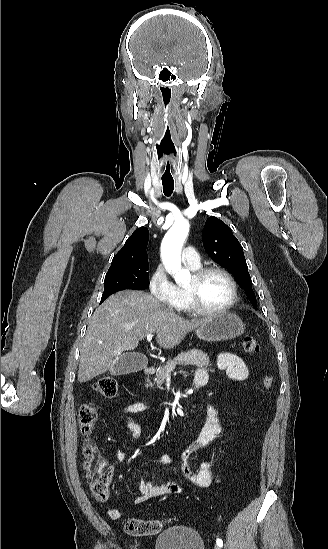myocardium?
Masks as SVG:
<instances>
[{"label":"myocardium","mask_w":328,"mask_h":549,"mask_svg":"<svg viewBox=\"0 0 328 549\" xmlns=\"http://www.w3.org/2000/svg\"><path fill=\"white\" fill-rule=\"evenodd\" d=\"M189 270L192 271L191 277L193 283L189 286H185V292L189 300V304L187 305V307L192 313L196 314L199 317L220 316L229 312L233 308L238 298V284L233 274L228 270L225 265L218 262H208L201 264L200 266H198L197 269ZM214 270L221 272L228 279L232 290L231 297L229 301L220 308L206 309L200 306L203 303L197 296L195 286L207 273Z\"/></svg>","instance_id":"1"}]
</instances>
